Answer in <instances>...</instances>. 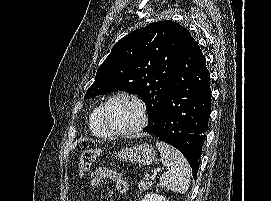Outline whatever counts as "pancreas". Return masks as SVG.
Segmentation results:
<instances>
[{
    "label": "pancreas",
    "instance_id": "1",
    "mask_svg": "<svg viewBox=\"0 0 271 201\" xmlns=\"http://www.w3.org/2000/svg\"><path fill=\"white\" fill-rule=\"evenodd\" d=\"M151 186H152V182L141 181V182L138 184V192L145 191V190H147L148 188H150Z\"/></svg>",
    "mask_w": 271,
    "mask_h": 201
}]
</instances>
